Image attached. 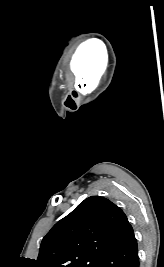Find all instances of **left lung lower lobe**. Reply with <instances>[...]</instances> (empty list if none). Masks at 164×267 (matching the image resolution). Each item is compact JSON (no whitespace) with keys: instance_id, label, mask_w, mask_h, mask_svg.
I'll list each match as a JSON object with an SVG mask.
<instances>
[{"instance_id":"obj_1","label":"left lung lower lobe","mask_w":164,"mask_h":267,"mask_svg":"<svg viewBox=\"0 0 164 267\" xmlns=\"http://www.w3.org/2000/svg\"><path fill=\"white\" fill-rule=\"evenodd\" d=\"M98 267H139L137 241L129 223L109 248Z\"/></svg>"}]
</instances>
